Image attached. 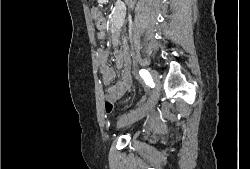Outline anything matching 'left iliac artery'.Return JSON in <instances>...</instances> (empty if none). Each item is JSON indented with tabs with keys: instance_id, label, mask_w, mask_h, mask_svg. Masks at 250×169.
Returning a JSON list of instances; mask_svg holds the SVG:
<instances>
[{
	"instance_id": "obj_1",
	"label": "left iliac artery",
	"mask_w": 250,
	"mask_h": 169,
	"mask_svg": "<svg viewBox=\"0 0 250 169\" xmlns=\"http://www.w3.org/2000/svg\"><path fill=\"white\" fill-rule=\"evenodd\" d=\"M139 74L144 79V81H145V83L147 85H153L154 84L153 80H152V77H151L150 73L147 70L141 69L139 71Z\"/></svg>"
}]
</instances>
